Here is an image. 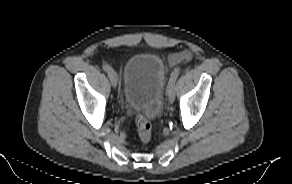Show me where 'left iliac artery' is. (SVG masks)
<instances>
[{
  "label": "left iliac artery",
  "instance_id": "left-iliac-artery-1",
  "mask_svg": "<svg viewBox=\"0 0 292 184\" xmlns=\"http://www.w3.org/2000/svg\"><path fill=\"white\" fill-rule=\"evenodd\" d=\"M179 73H180V69H175L172 73H171V76H170V79H169V82H168V86L167 88H169L170 86L174 85L178 76H179Z\"/></svg>",
  "mask_w": 292,
  "mask_h": 184
}]
</instances>
